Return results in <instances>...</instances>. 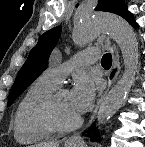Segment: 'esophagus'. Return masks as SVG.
I'll return each mask as SVG.
<instances>
[{
	"label": "esophagus",
	"mask_w": 145,
	"mask_h": 147,
	"mask_svg": "<svg viewBox=\"0 0 145 147\" xmlns=\"http://www.w3.org/2000/svg\"><path fill=\"white\" fill-rule=\"evenodd\" d=\"M111 53H112V57H113V64H112V73H113V75H112V78L109 80L108 88H107L106 92L109 90V88L115 82V80L117 78V75H118V72H119V54H118L117 47L114 44L111 46ZM102 97H101V99H102ZM101 99L99 100L95 110L93 111V113H92V115H91V117H90V119H89V121H88V123L86 125V128L89 127V125L93 121V119H94V117L96 115L97 109L99 107V103H100ZM67 141L68 142H80V141H82L81 134L76 133V134L72 135L71 137H69Z\"/></svg>",
	"instance_id": "1"
}]
</instances>
